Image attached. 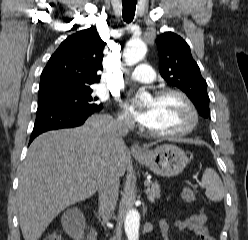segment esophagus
Segmentation results:
<instances>
[{
	"mask_svg": "<svg viewBox=\"0 0 248 240\" xmlns=\"http://www.w3.org/2000/svg\"><path fill=\"white\" fill-rule=\"evenodd\" d=\"M131 152L135 155H141L145 153V150L138 143H133L131 145Z\"/></svg>",
	"mask_w": 248,
	"mask_h": 240,
	"instance_id": "34e87169",
	"label": "esophagus"
}]
</instances>
